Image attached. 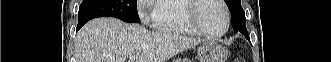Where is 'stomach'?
<instances>
[{
  "mask_svg": "<svg viewBox=\"0 0 331 62\" xmlns=\"http://www.w3.org/2000/svg\"><path fill=\"white\" fill-rule=\"evenodd\" d=\"M199 62H226L228 50L217 42H204L197 51ZM173 62H191L187 59H177Z\"/></svg>",
  "mask_w": 331,
  "mask_h": 62,
  "instance_id": "obj_1",
  "label": "stomach"
}]
</instances>
